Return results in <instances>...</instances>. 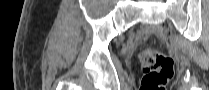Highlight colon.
Segmentation results:
<instances>
[{
	"mask_svg": "<svg viewBox=\"0 0 209 90\" xmlns=\"http://www.w3.org/2000/svg\"><path fill=\"white\" fill-rule=\"evenodd\" d=\"M140 61L143 71L140 90H166L174 73L173 59L155 49H145Z\"/></svg>",
	"mask_w": 209,
	"mask_h": 90,
	"instance_id": "1",
	"label": "colon"
}]
</instances>
